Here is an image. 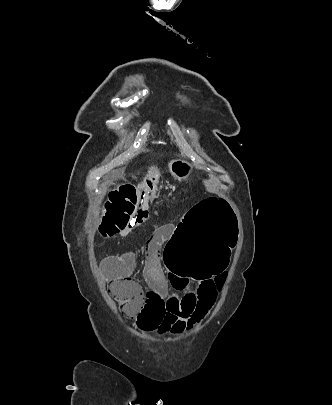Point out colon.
<instances>
[{
    "label": "colon",
    "instance_id": "obj_1",
    "mask_svg": "<svg viewBox=\"0 0 332 405\" xmlns=\"http://www.w3.org/2000/svg\"><path fill=\"white\" fill-rule=\"evenodd\" d=\"M137 190L138 186L122 184L109 193L99 226L102 235L113 237L138 222L131 213L137 208ZM231 208L223 197H200L185 211V220H176L172 240L164 248L169 275H187L188 281H208L215 275L213 288L220 291L231 264L228 257H234L239 243L236 211ZM109 289L125 314L137 317L142 311L143 294L132 278L113 280Z\"/></svg>",
    "mask_w": 332,
    "mask_h": 405
}]
</instances>
